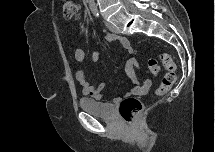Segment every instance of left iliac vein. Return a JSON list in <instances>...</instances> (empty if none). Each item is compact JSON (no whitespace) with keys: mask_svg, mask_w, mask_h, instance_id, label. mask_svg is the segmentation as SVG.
<instances>
[{"mask_svg":"<svg viewBox=\"0 0 215 152\" xmlns=\"http://www.w3.org/2000/svg\"><path fill=\"white\" fill-rule=\"evenodd\" d=\"M105 24H106V26L108 27V29H109L110 31H112V32H114V33H119L118 28H117L114 24H112V23H110V22H108V21H105Z\"/></svg>","mask_w":215,"mask_h":152,"instance_id":"1","label":"left iliac vein"}]
</instances>
